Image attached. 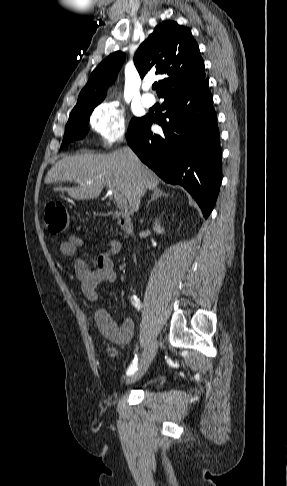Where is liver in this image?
I'll return each mask as SVG.
<instances>
[{"label": "liver", "mask_w": 287, "mask_h": 486, "mask_svg": "<svg viewBox=\"0 0 287 486\" xmlns=\"http://www.w3.org/2000/svg\"><path fill=\"white\" fill-rule=\"evenodd\" d=\"M75 182L77 187H56L55 191H66L76 200L97 198L103 188L109 187L121 193L129 203L132 212L140 205V190L157 188L158 176L123 149L111 154H80L66 156L48 172L45 183Z\"/></svg>", "instance_id": "liver-1"}]
</instances>
